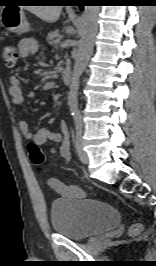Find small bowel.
<instances>
[{
	"mask_svg": "<svg viewBox=\"0 0 156 266\" xmlns=\"http://www.w3.org/2000/svg\"><path fill=\"white\" fill-rule=\"evenodd\" d=\"M38 45L35 40L30 38L22 39L18 44L19 56L26 58L37 52ZM21 78L12 76L10 78L9 95L14 105H21L24 101L23 92L21 89ZM18 127L26 140L35 143L38 146L44 145L47 141H52L60 144L59 153L63 161H69L71 157L70 135L66 122L60 124V131L53 132L46 128H40L37 131H32L25 120L18 121ZM54 153L55 149H51ZM49 186L57 193L66 198L80 199L85 197V192L75 185H66L57 179H50Z\"/></svg>",
	"mask_w": 156,
	"mask_h": 266,
	"instance_id": "small-bowel-1",
	"label": "small bowel"
}]
</instances>
